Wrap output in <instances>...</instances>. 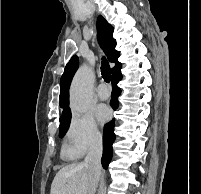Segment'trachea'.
I'll return each mask as SVG.
<instances>
[{
    "label": "trachea",
    "instance_id": "1",
    "mask_svg": "<svg viewBox=\"0 0 201 194\" xmlns=\"http://www.w3.org/2000/svg\"><path fill=\"white\" fill-rule=\"evenodd\" d=\"M101 75L105 82L109 83L111 78V69L108 61L103 57L101 65Z\"/></svg>",
    "mask_w": 201,
    "mask_h": 194
}]
</instances>
